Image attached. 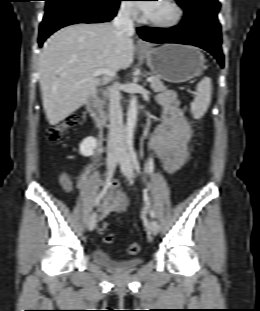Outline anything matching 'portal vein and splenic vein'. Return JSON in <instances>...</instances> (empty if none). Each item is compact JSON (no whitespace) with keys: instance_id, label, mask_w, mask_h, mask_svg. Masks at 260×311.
Returning a JSON list of instances; mask_svg holds the SVG:
<instances>
[{"instance_id":"portal-vein-and-splenic-vein-1","label":"portal vein and splenic vein","mask_w":260,"mask_h":311,"mask_svg":"<svg viewBox=\"0 0 260 311\" xmlns=\"http://www.w3.org/2000/svg\"><path fill=\"white\" fill-rule=\"evenodd\" d=\"M93 75L94 76H99V75H107V76H110V77H114L115 76V72L108 69V68H100V69H96L94 72H93ZM147 81L148 82H152L153 81V78L152 77H148L147 78Z\"/></svg>"}]
</instances>
